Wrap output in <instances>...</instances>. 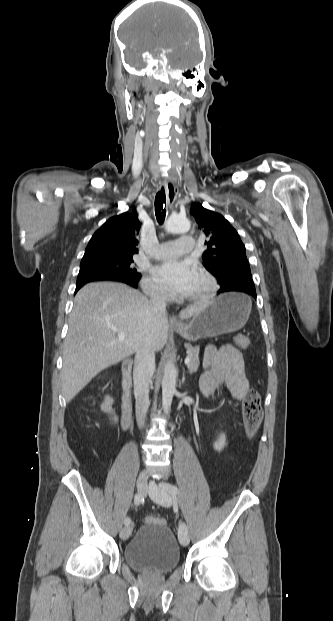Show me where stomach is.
I'll use <instances>...</instances> for the list:
<instances>
[{"label":"stomach","instance_id":"0dacf381","mask_svg":"<svg viewBox=\"0 0 333 621\" xmlns=\"http://www.w3.org/2000/svg\"><path fill=\"white\" fill-rule=\"evenodd\" d=\"M251 302L245 294L226 293L208 301L190 321L188 341L212 338L242 328L248 320Z\"/></svg>","mask_w":333,"mask_h":621}]
</instances>
